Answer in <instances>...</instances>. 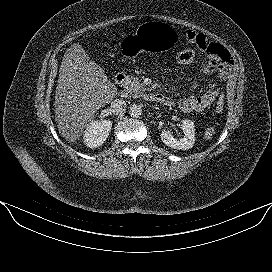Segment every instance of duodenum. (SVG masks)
Returning a JSON list of instances; mask_svg holds the SVG:
<instances>
[{"label":"duodenum","mask_w":272,"mask_h":272,"mask_svg":"<svg viewBox=\"0 0 272 272\" xmlns=\"http://www.w3.org/2000/svg\"><path fill=\"white\" fill-rule=\"evenodd\" d=\"M126 81V74L118 73L115 77V82L117 85L121 86ZM151 101L162 104V105H170L171 99L161 93H150L146 95Z\"/></svg>","instance_id":"410a0bca"}]
</instances>
